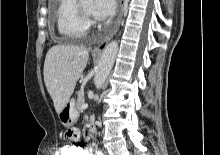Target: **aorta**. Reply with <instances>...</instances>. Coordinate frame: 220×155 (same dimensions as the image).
Wrapping results in <instances>:
<instances>
[{
	"label": "aorta",
	"instance_id": "1",
	"mask_svg": "<svg viewBox=\"0 0 220 155\" xmlns=\"http://www.w3.org/2000/svg\"><path fill=\"white\" fill-rule=\"evenodd\" d=\"M118 48V42L115 40L110 42L105 47L94 77L96 89H100L104 85L106 78L114 65L118 53Z\"/></svg>",
	"mask_w": 220,
	"mask_h": 155
}]
</instances>
